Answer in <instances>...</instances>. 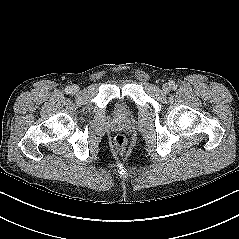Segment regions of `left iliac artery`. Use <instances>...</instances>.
<instances>
[{"label": "left iliac artery", "instance_id": "left-iliac-artery-1", "mask_svg": "<svg viewBox=\"0 0 239 239\" xmlns=\"http://www.w3.org/2000/svg\"><path fill=\"white\" fill-rule=\"evenodd\" d=\"M170 86H171V88H173V89H175V88H176V86H175V83H174V82H171V83H170Z\"/></svg>", "mask_w": 239, "mask_h": 239}]
</instances>
